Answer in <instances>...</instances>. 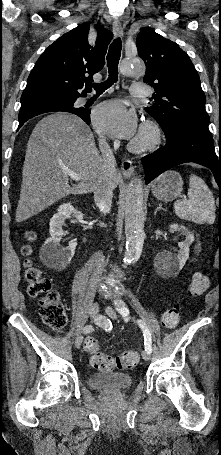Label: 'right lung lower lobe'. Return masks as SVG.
<instances>
[{"mask_svg":"<svg viewBox=\"0 0 221 455\" xmlns=\"http://www.w3.org/2000/svg\"><path fill=\"white\" fill-rule=\"evenodd\" d=\"M54 111H63V112L73 113V114H76L79 117H81L87 124L90 123V110H88V109H83V110L77 112L72 108H67V107H63V106H47V107H39V108L30 109V110H27L24 112H20L19 116H18V118H19L18 129L21 128L22 125L29 119H31L37 115L43 114V113L54 112Z\"/></svg>","mask_w":221,"mask_h":455,"instance_id":"1","label":"right lung lower lobe"}]
</instances>
